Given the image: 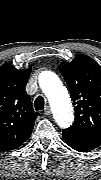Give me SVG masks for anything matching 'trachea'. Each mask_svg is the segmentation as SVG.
<instances>
[{"label": "trachea", "instance_id": "obj_1", "mask_svg": "<svg viewBox=\"0 0 101 180\" xmlns=\"http://www.w3.org/2000/svg\"><path fill=\"white\" fill-rule=\"evenodd\" d=\"M44 98L41 96H38L35 100L34 106L37 111L44 109Z\"/></svg>", "mask_w": 101, "mask_h": 180}]
</instances>
